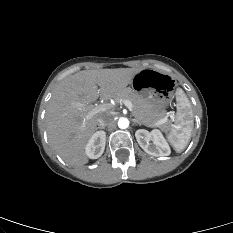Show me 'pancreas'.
<instances>
[{"instance_id": "cf45deb5", "label": "pancreas", "mask_w": 233, "mask_h": 233, "mask_svg": "<svg viewBox=\"0 0 233 233\" xmlns=\"http://www.w3.org/2000/svg\"><path fill=\"white\" fill-rule=\"evenodd\" d=\"M118 101L128 100L133 105L132 113L145 126H155V124L165 118L163 113L155 112L151 105L147 103L143 98H141L137 93L131 89H126ZM167 122V121H166ZM164 122L157 125L160 128L167 129L168 124Z\"/></svg>"}]
</instances>
